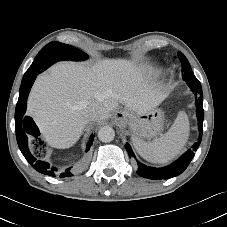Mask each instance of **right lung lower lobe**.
I'll use <instances>...</instances> for the list:
<instances>
[{"instance_id":"1","label":"right lung lower lobe","mask_w":227,"mask_h":227,"mask_svg":"<svg viewBox=\"0 0 227 227\" xmlns=\"http://www.w3.org/2000/svg\"><path fill=\"white\" fill-rule=\"evenodd\" d=\"M49 58H50V61L44 67L35 71L30 77L23 80L21 83V87L19 91V99L15 110V129H16V138H17L18 146L23 156L26 158V160L31 165H33L34 169H36L38 172L42 174L54 176L55 175L54 172L56 171V168H51L48 163L37 160L35 157L32 156V154L28 149V137H27L28 134L39 135L40 133L34 121L30 117L24 115L26 111L27 98L36 76L39 73H41L43 69L48 68L51 64L58 61L57 57H52V55H49ZM92 143H93V135H91L89 142L86 146V152L90 149ZM70 176H72V173L70 172V168L66 169V171L61 173L60 175V177H70Z\"/></svg>"}]
</instances>
